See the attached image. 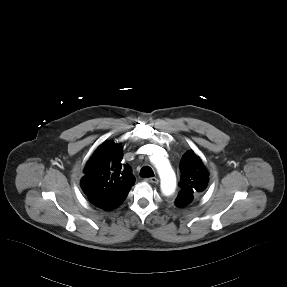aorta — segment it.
<instances>
[{"mask_svg":"<svg viewBox=\"0 0 287 287\" xmlns=\"http://www.w3.org/2000/svg\"><path fill=\"white\" fill-rule=\"evenodd\" d=\"M161 179L163 194L170 195L176 187V176L168 161L161 155L156 154L151 158Z\"/></svg>","mask_w":287,"mask_h":287,"instance_id":"1","label":"aorta"}]
</instances>
